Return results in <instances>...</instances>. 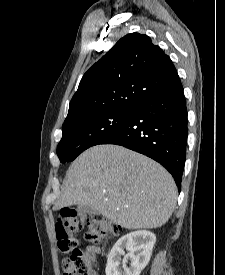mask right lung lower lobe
<instances>
[{
	"instance_id": "obj_1",
	"label": "right lung lower lobe",
	"mask_w": 225,
	"mask_h": 275,
	"mask_svg": "<svg viewBox=\"0 0 225 275\" xmlns=\"http://www.w3.org/2000/svg\"><path fill=\"white\" fill-rule=\"evenodd\" d=\"M187 131L181 84L138 103L127 121L99 144L121 145L156 160L171 173L180 191Z\"/></svg>"
}]
</instances>
